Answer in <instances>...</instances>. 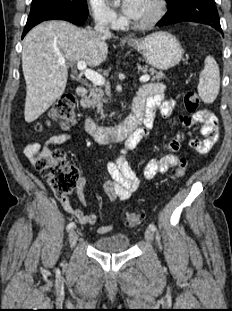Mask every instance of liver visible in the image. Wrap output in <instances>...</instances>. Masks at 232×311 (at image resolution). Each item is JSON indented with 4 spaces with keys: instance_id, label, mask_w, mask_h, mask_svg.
<instances>
[{
    "instance_id": "6515ba94",
    "label": "liver",
    "mask_w": 232,
    "mask_h": 311,
    "mask_svg": "<svg viewBox=\"0 0 232 311\" xmlns=\"http://www.w3.org/2000/svg\"><path fill=\"white\" fill-rule=\"evenodd\" d=\"M110 36L81 29L65 21H47L33 28L23 40L22 69L26 82L24 117L39 118L65 91L68 67L85 61L96 67L107 59ZM66 64L60 65L59 59Z\"/></svg>"
}]
</instances>
